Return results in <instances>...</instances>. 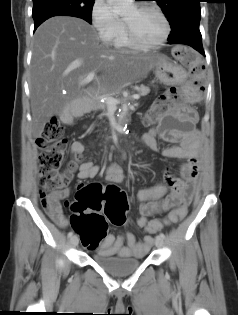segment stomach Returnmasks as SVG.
Listing matches in <instances>:
<instances>
[{
  "instance_id": "0dacf381",
  "label": "stomach",
  "mask_w": 238,
  "mask_h": 315,
  "mask_svg": "<svg viewBox=\"0 0 238 315\" xmlns=\"http://www.w3.org/2000/svg\"><path fill=\"white\" fill-rule=\"evenodd\" d=\"M155 77L161 83L166 85H174L180 91H193V84L188 83L191 79V72H180V68L174 64L167 56L161 55L160 61L153 68ZM191 101H196L195 95H191ZM179 116H197V109H179Z\"/></svg>"
}]
</instances>
